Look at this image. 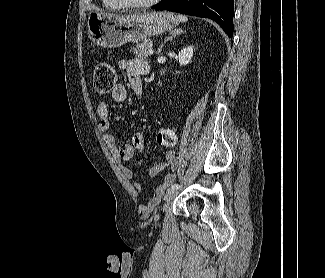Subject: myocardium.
I'll list each match as a JSON object with an SVG mask.
<instances>
[{
    "label": "myocardium",
    "mask_w": 325,
    "mask_h": 278,
    "mask_svg": "<svg viewBox=\"0 0 325 278\" xmlns=\"http://www.w3.org/2000/svg\"><path fill=\"white\" fill-rule=\"evenodd\" d=\"M114 1L123 8L140 9V8L151 7L157 4L160 0H146L141 2H135L131 0H114Z\"/></svg>",
    "instance_id": "myocardium-1"
}]
</instances>
